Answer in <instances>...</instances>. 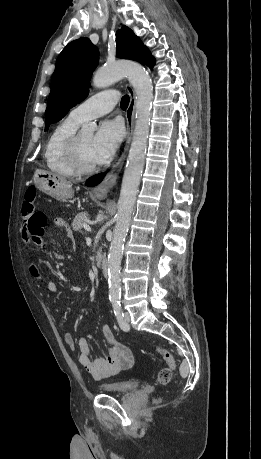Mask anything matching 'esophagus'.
Segmentation results:
<instances>
[{
  "instance_id": "obj_1",
  "label": "esophagus",
  "mask_w": 261,
  "mask_h": 459,
  "mask_svg": "<svg viewBox=\"0 0 261 459\" xmlns=\"http://www.w3.org/2000/svg\"><path fill=\"white\" fill-rule=\"evenodd\" d=\"M126 88L130 95V102L126 111L127 137L125 146L120 157L112 166L111 170L107 173L105 178L93 188L92 194L97 197H107L110 190L115 186L119 172L126 158L130 142L132 140L135 123L136 95L133 87L129 83H126Z\"/></svg>"
}]
</instances>
